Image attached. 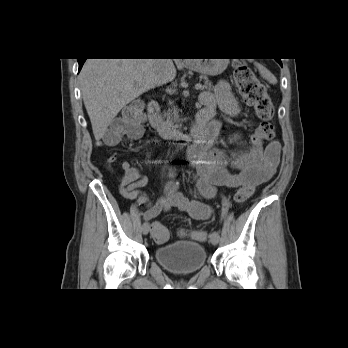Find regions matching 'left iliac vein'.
I'll list each match as a JSON object with an SVG mask.
<instances>
[{
	"label": "left iliac vein",
	"instance_id": "obj_1",
	"mask_svg": "<svg viewBox=\"0 0 348 348\" xmlns=\"http://www.w3.org/2000/svg\"><path fill=\"white\" fill-rule=\"evenodd\" d=\"M219 239H220V236H219V233L217 231H213L210 234V241L213 245H217L219 242Z\"/></svg>",
	"mask_w": 348,
	"mask_h": 348
}]
</instances>
